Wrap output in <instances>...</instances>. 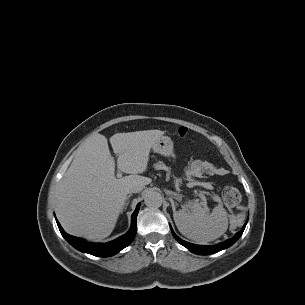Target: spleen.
Instances as JSON below:
<instances>
[{
	"label": "spleen",
	"instance_id": "3e777b00",
	"mask_svg": "<svg viewBox=\"0 0 305 305\" xmlns=\"http://www.w3.org/2000/svg\"><path fill=\"white\" fill-rule=\"evenodd\" d=\"M173 218L182 235L200 244L219 238L228 228L227 212L222 204L210 213L200 204L193 203L190 210L174 211Z\"/></svg>",
	"mask_w": 305,
	"mask_h": 305
}]
</instances>
